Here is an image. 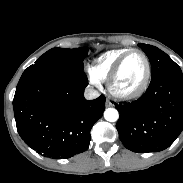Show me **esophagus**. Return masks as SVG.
<instances>
[{
  "label": "esophagus",
  "mask_w": 183,
  "mask_h": 183,
  "mask_svg": "<svg viewBox=\"0 0 183 183\" xmlns=\"http://www.w3.org/2000/svg\"><path fill=\"white\" fill-rule=\"evenodd\" d=\"M105 105H106V107L112 106V103L108 98L106 99Z\"/></svg>",
  "instance_id": "1"
}]
</instances>
